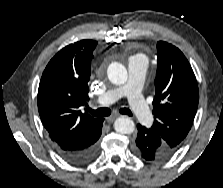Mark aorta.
I'll list each match as a JSON object with an SVG mask.
<instances>
[{"instance_id": "obj_1", "label": "aorta", "mask_w": 223, "mask_h": 188, "mask_svg": "<svg viewBox=\"0 0 223 188\" xmlns=\"http://www.w3.org/2000/svg\"><path fill=\"white\" fill-rule=\"evenodd\" d=\"M107 75L115 85H122L128 79V73L124 65L113 62L108 66ZM114 129L120 134H131L135 130V124L129 117H119L114 122Z\"/></svg>"}]
</instances>
